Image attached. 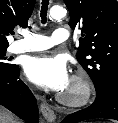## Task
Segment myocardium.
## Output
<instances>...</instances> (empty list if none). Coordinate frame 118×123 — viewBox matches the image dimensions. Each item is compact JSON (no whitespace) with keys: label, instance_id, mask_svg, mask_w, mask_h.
I'll use <instances>...</instances> for the list:
<instances>
[{"label":"myocardium","instance_id":"obj_1","mask_svg":"<svg viewBox=\"0 0 118 123\" xmlns=\"http://www.w3.org/2000/svg\"><path fill=\"white\" fill-rule=\"evenodd\" d=\"M70 84L75 88V93L73 95L59 93L57 96L59 102L69 107L86 105L93 96V85L89 77L83 73L75 74Z\"/></svg>","mask_w":118,"mask_h":123}]
</instances>
